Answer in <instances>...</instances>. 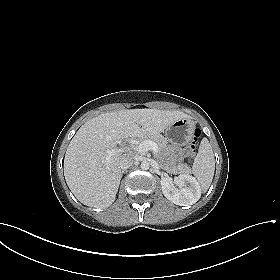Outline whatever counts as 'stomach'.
Returning a JSON list of instances; mask_svg holds the SVG:
<instances>
[{"label": "stomach", "mask_w": 280, "mask_h": 280, "mask_svg": "<svg viewBox=\"0 0 280 280\" xmlns=\"http://www.w3.org/2000/svg\"><path fill=\"white\" fill-rule=\"evenodd\" d=\"M194 122L189 118L179 119L166 128V138L178 144H186L193 138Z\"/></svg>", "instance_id": "obj_1"}]
</instances>
